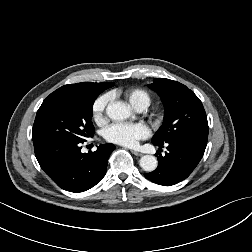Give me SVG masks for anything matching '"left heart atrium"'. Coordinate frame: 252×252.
<instances>
[{
	"instance_id": "left-heart-atrium-1",
	"label": "left heart atrium",
	"mask_w": 252,
	"mask_h": 252,
	"mask_svg": "<svg viewBox=\"0 0 252 252\" xmlns=\"http://www.w3.org/2000/svg\"><path fill=\"white\" fill-rule=\"evenodd\" d=\"M148 135L149 129L142 123H114L104 132L107 141L129 147L135 146Z\"/></svg>"
}]
</instances>
